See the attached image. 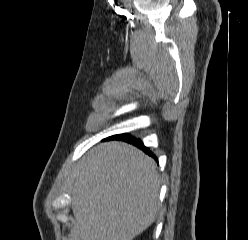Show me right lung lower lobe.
Instances as JSON below:
<instances>
[{"mask_svg":"<svg viewBox=\"0 0 248 240\" xmlns=\"http://www.w3.org/2000/svg\"><path fill=\"white\" fill-rule=\"evenodd\" d=\"M110 139L124 140L126 142L132 143L133 145L141 148L144 152H146L147 154H149L150 156L154 157L157 160V158L154 156V154L152 152H150L149 149L143 145L142 141L130 136L127 133L114 135V136L107 138V140H110Z\"/></svg>","mask_w":248,"mask_h":240,"instance_id":"98d812e1","label":"right lung lower lobe"}]
</instances>
